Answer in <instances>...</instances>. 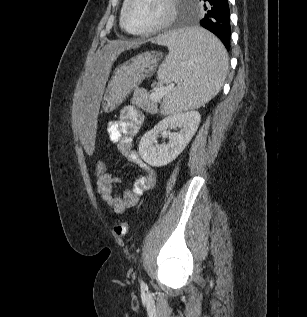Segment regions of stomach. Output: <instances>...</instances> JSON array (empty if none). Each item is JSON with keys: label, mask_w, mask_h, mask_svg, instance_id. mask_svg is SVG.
<instances>
[{"label": "stomach", "mask_w": 307, "mask_h": 317, "mask_svg": "<svg viewBox=\"0 0 307 317\" xmlns=\"http://www.w3.org/2000/svg\"><path fill=\"white\" fill-rule=\"evenodd\" d=\"M160 56L161 53L145 52L119 65L103 97L104 111H112L145 77L151 74L161 59Z\"/></svg>", "instance_id": "obj_1"}]
</instances>
